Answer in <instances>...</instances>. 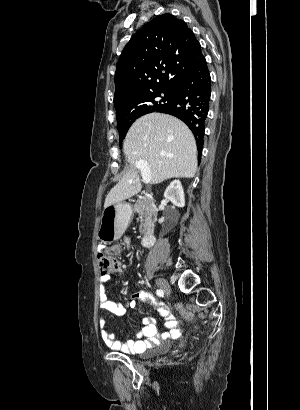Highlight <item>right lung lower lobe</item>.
<instances>
[{
	"label": "right lung lower lobe",
	"instance_id": "right-lung-lower-lobe-1",
	"mask_svg": "<svg viewBox=\"0 0 300 410\" xmlns=\"http://www.w3.org/2000/svg\"><path fill=\"white\" fill-rule=\"evenodd\" d=\"M210 92L211 80L206 60L203 58L178 81L173 101L157 111L176 116L188 125L197 142L199 160Z\"/></svg>",
	"mask_w": 300,
	"mask_h": 410
}]
</instances>
